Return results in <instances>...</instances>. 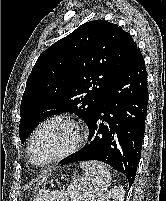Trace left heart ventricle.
Wrapping results in <instances>:
<instances>
[{
	"instance_id": "b2bd125f",
	"label": "left heart ventricle",
	"mask_w": 166,
	"mask_h": 201,
	"mask_svg": "<svg viewBox=\"0 0 166 201\" xmlns=\"http://www.w3.org/2000/svg\"><path fill=\"white\" fill-rule=\"evenodd\" d=\"M75 140L74 128L66 123L55 122L45 126L36 136L32 148V159L43 163L65 151Z\"/></svg>"
}]
</instances>
